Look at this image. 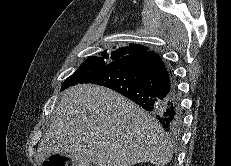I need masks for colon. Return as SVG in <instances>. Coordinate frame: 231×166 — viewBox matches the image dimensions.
<instances>
[{
    "instance_id": "5ec220e1",
    "label": "colon",
    "mask_w": 231,
    "mask_h": 166,
    "mask_svg": "<svg viewBox=\"0 0 231 166\" xmlns=\"http://www.w3.org/2000/svg\"><path fill=\"white\" fill-rule=\"evenodd\" d=\"M66 157L60 154H53L44 162V166H66Z\"/></svg>"
}]
</instances>
